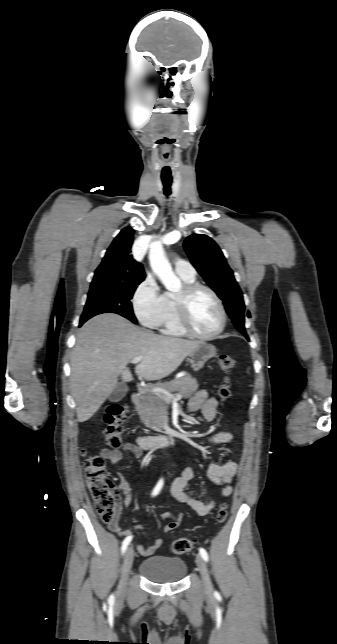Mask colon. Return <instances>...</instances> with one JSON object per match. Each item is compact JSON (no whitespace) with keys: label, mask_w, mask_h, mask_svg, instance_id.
Returning a JSON list of instances; mask_svg holds the SVG:
<instances>
[{"label":"colon","mask_w":337,"mask_h":644,"mask_svg":"<svg viewBox=\"0 0 337 644\" xmlns=\"http://www.w3.org/2000/svg\"><path fill=\"white\" fill-rule=\"evenodd\" d=\"M218 365L225 374L231 373L236 367V361L227 355L218 358ZM218 396L222 401L231 396V385L228 378L218 388ZM128 408L122 404L111 405L105 416L104 437L105 442L111 449H118L122 444L123 423L127 417ZM84 471L86 483L97 514L105 523H110L117 516V501L114 494V487L106 474V462L102 456H88L84 460ZM227 518V506L221 504L216 514V520L222 523ZM194 540L188 537H181L172 542L171 550L176 555L191 551L194 547Z\"/></svg>","instance_id":"5ec220e1"}]
</instances>
